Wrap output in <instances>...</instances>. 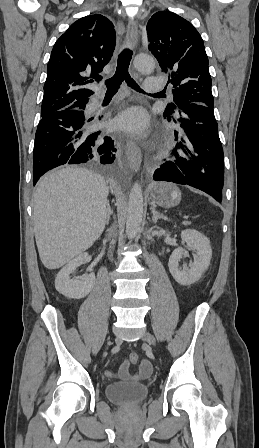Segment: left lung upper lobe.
Returning <instances> with one entry per match:
<instances>
[{"instance_id": "left-lung-upper-lobe-1", "label": "left lung upper lobe", "mask_w": 259, "mask_h": 448, "mask_svg": "<svg viewBox=\"0 0 259 448\" xmlns=\"http://www.w3.org/2000/svg\"><path fill=\"white\" fill-rule=\"evenodd\" d=\"M149 50L169 73L173 101L164 114L176 115L192 103L214 107L208 57L201 35L184 18L170 11L155 13L147 23Z\"/></svg>"}]
</instances>
